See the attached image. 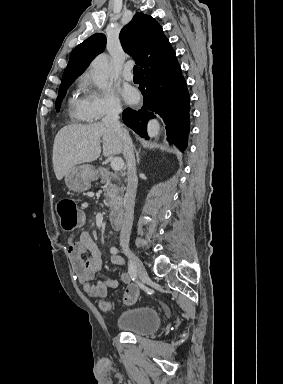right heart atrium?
Returning a JSON list of instances; mask_svg holds the SVG:
<instances>
[{
    "mask_svg": "<svg viewBox=\"0 0 283 384\" xmlns=\"http://www.w3.org/2000/svg\"><path fill=\"white\" fill-rule=\"evenodd\" d=\"M83 87L88 123L100 126L105 120L114 118L122 112L121 101L110 87L100 89L87 76L83 81Z\"/></svg>",
    "mask_w": 283,
    "mask_h": 384,
    "instance_id": "right-heart-atrium-1",
    "label": "right heart atrium"
}]
</instances>
